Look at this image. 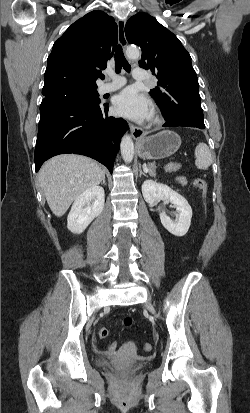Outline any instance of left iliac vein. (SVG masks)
<instances>
[{"mask_svg":"<svg viewBox=\"0 0 250 413\" xmlns=\"http://www.w3.org/2000/svg\"><path fill=\"white\" fill-rule=\"evenodd\" d=\"M148 309H149L152 313H154V309H153V307H152L151 305L148 306Z\"/></svg>","mask_w":250,"mask_h":413,"instance_id":"left-iliac-vein-1","label":"left iliac vein"}]
</instances>
